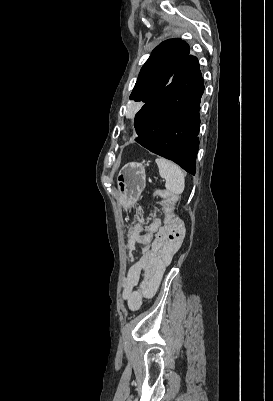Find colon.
Wrapping results in <instances>:
<instances>
[{
  "instance_id": "colon-1",
  "label": "colon",
  "mask_w": 273,
  "mask_h": 401,
  "mask_svg": "<svg viewBox=\"0 0 273 401\" xmlns=\"http://www.w3.org/2000/svg\"><path fill=\"white\" fill-rule=\"evenodd\" d=\"M184 228V224L181 220L167 215L164 220L163 226L157 233L158 241H184L185 233L177 232Z\"/></svg>"
}]
</instances>
